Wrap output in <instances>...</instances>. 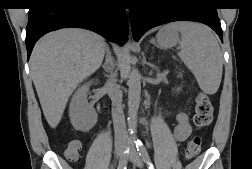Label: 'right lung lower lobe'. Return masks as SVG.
Segmentation results:
<instances>
[{"label": "right lung lower lobe", "mask_w": 252, "mask_h": 169, "mask_svg": "<svg viewBox=\"0 0 252 169\" xmlns=\"http://www.w3.org/2000/svg\"><path fill=\"white\" fill-rule=\"evenodd\" d=\"M66 27L94 31L119 45L125 43L128 34L120 0H36L29 10L26 28L28 59L41 36Z\"/></svg>", "instance_id": "obj_1"}]
</instances>
